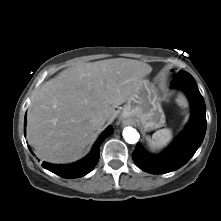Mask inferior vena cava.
I'll list each match as a JSON object with an SVG mask.
<instances>
[{"mask_svg":"<svg viewBox=\"0 0 221 221\" xmlns=\"http://www.w3.org/2000/svg\"><path fill=\"white\" fill-rule=\"evenodd\" d=\"M106 122V118L101 116V115H97V116H94L92 119H91V124L94 126V127H101L104 125V123Z\"/></svg>","mask_w":221,"mask_h":221,"instance_id":"inferior-vena-cava-1","label":"inferior vena cava"}]
</instances>
